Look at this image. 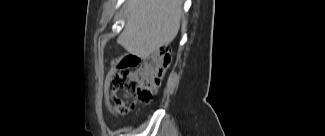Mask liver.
Instances as JSON below:
<instances>
[{
	"mask_svg": "<svg viewBox=\"0 0 325 136\" xmlns=\"http://www.w3.org/2000/svg\"><path fill=\"white\" fill-rule=\"evenodd\" d=\"M183 0H129L127 22L117 43L147 58L169 44L180 28Z\"/></svg>",
	"mask_w": 325,
	"mask_h": 136,
	"instance_id": "1",
	"label": "liver"
}]
</instances>
